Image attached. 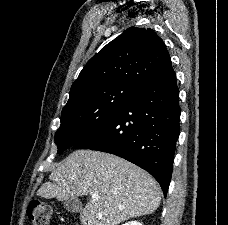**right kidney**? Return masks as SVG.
I'll return each mask as SVG.
<instances>
[{
    "label": "right kidney",
    "instance_id": "obj_1",
    "mask_svg": "<svg viewBox=\"0 0 228 225\" xmlns=\"http://www.w3.org/2000/svg\"><path fill=\"white\" fill-rule=\"evenodd\" d=\"M125 225H142V223H138V221H130V223H125Z\"/></svg>",
    "mask_w": 228,
    "mask_h": 225
}]
</instances>
